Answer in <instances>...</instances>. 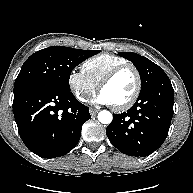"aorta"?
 Wrapping results in <instances>:
<instances>
[{
  "mask_svg": "<svg viewBox=\"0 0 193 193\" xmlns=\"http://www.w3.org/2000/svg\"><path fill=\"white\" fill-rule=\"evenodd\" d=\"M112 119V114L107 110H103L98 113V120L102 124H110L112 122Z\"/></svg>",
  "mask_w": 193,
  "mask_h": 193,
  "instance_id": "1",
  "label": "aorta"
}]
</instances>
